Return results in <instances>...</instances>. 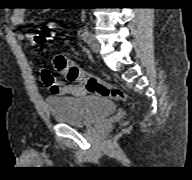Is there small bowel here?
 I'll return each mask as SVG.
<instances>
[{
	"instance_id": "obj_1",
	"label": "small bowel",
	"mask_w": 192,
	"mask_h": 180,
	"mask_svg": "<svg viewBox=\"0 0 192 180\" xmlns=\"http://www.w3.org/2000/svg\"><path fill=\"white\" fill-rule=\"evenodd\" d=\"M11 21L14 25H21L24 22V14L21 10H15L11 16ZM26 34L25 37H30ZM43 84L47 87L50 93L54 96H81L85 94V90L80 85H69L63 82H58L52 78L48 72L42 74Z\"/></svg>"
}]
</instances>
